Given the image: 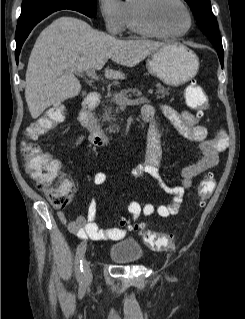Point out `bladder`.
Here are the masks:
<instances>
[{
    "mask_svg": "<svg viewBox=\"0 0 245 319\" xmlns=\"http://www.w3.org/2000/svg\"><path fill=\"white\" fill-rule=\"evenodd\" d=\"M109 258L119 264H136L143 259V250L137 240L121 238L109 249Z\"/></svg>",
    "mask_w": 245,
    "mask_h": 319,
    "instance_id": "31cf9c89",
    "label": "bladder"
}]
</instances>
